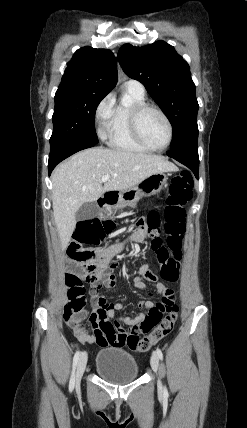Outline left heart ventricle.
<instances>
[{
	"mask_svg": "<svg viewBox=\"0 0 247 428\" xmlns=\"http://www.w3.org/2000/svg\"><path fill=\"white\" fill-rule=\"evenodd\" d=\"M144 139L154 147L163 146L168 139V128L160 114L153 110L145 111L139 121Z\"/></svg>",
	"mask_w": 247,
	"mask_h": 428,
	"instance_id": "1",
	"label": "left heart ventricle"
}]
</instances>
